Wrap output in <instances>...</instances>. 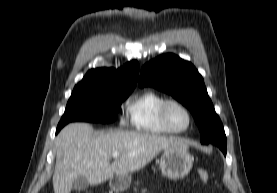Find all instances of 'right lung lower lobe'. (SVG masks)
<instances>
[{"label":"right lung lower lobe","mask_w":277,"mask_h":193,"mask_svg":"<svg viewBox=\"0 0 277 193\" xmlns=\"http://www.w3.org/2000/svg\"><path fill=\"white\" fill-rule=\"evenodd\" d=\"M64 125H59L57 126V129H56V133H58L60 131V129L63 127Z\"/></svg>","instance_id":"obj_1"}]
</instances>
